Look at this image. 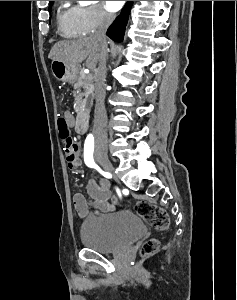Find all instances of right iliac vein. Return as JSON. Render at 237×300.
Wrapping results in <instances>:
<instances>
[{"label": "right iliac vein", "instance_id": "obj_1", "mask_svg": "<svg viewBox=\"0 0 237 300\" xmlns=\"http://www.w3.org/2000/svg\"><path fill=\"white\" fill-rule=\"evenodd\" d=\"M95 157L97 161L108 171L113 172L114 166L110 162L105 147H97L95 149Z\"/></svg>", "mask_w": 237, "mask_h": 300}]
</instances>
